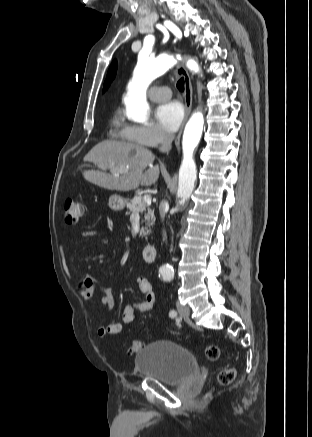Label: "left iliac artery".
<instances>
[{
	"mask_svg": "<svg viewBox=\"0 0 312 437\" xmlns=\"http://www.w3.org/2000/svg\"><path fill=\"white\" fill-rule=\"evenodd\" d=\"M177 315V313H176V311L175 310H171L170 312H169V316L170 317H175Z\"/></svg>",
	"mask_w": 312,
	"mask_h": 437,
	"instance_id": "44dca946",
	"label": "left iliac artery"
}]
</instances>
